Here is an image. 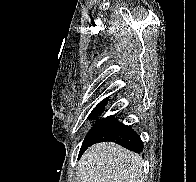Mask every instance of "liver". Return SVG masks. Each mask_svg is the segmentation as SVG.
Masks as SVG:
<instances>
[{
	"label": "liver",
	"instance_id": "1",
	"mask_svg": "<svg viewBox=\"0 0 196 182\" xmlns=\"http://www.w3.org/2000/svg\"><path fill=\"white\" fill-rule=\"evenodd\" d=\"M140 156L120 145L91 146L79 162L80 182H144Z\"/></svg>",
	"mask_w": 196,
	"mask_h": 182
}]
</instances>
